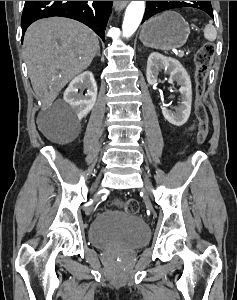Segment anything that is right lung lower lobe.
Here are the masks:
<instances>
[{
  "label": "right lung lower lobe",
  "mask_w": 237,
  "mask_h": 300,
  "mask_svg": "<svg viewBox=\"0 0 237 300\" xmlns=\"http://www.w3.org/2000/svg\"><path fill=\"white\" fill-rule=\"evenodd\" d=\"M111 6L112 1H25L21 19L22 35L38 19L62 16L86 24L105 41L104 30Z\"/></svg>",
  "instance_id": "1"
}]
</instances>
